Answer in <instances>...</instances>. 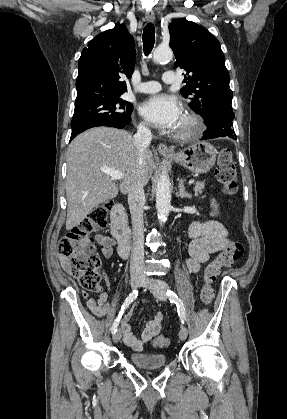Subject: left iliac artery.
Listing matches in <instances>:
<instances>
[{
    "label": "left iliac artery",
    "instance_id": "1",
    "mask_svg": "<svg viewBox=\"0 0 287 419\" xmlns=\"http://www.w3.org/2000/svg\"><path fill=\"white\" fill-rule=\"evenodd\" d=\"M167 296H168L170 302L174 303L177 306L178 315L181 319V322L184 323L185 318H186L185 317L186 313H185V308H184L182 300L172 290H167Z\"/></svg>",
    "mask_w": 287,
    "mask_h": 419
}]
</instances>
